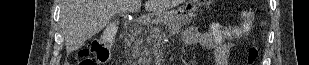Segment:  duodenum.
Instances as JSON below:
<instances>
[{"instance_id": "duodenum-1", "label": "duodenum", "mask_w": 309, "mask_h": 65, "mask_svg": "<svg viewBox=\"0 0 309 65\" xmlns=\"http://www.w3.org/2000/svg\"><path fill=\"white\" fill-rule=\"evenodd\" d=\"M150 18L149 16H142V17H139L137 20H136V23H135V26H134V30L137 28V26H143V25H147L148 23H150Z\"/></svg>"}]
</instances>
